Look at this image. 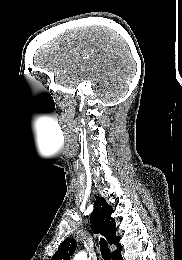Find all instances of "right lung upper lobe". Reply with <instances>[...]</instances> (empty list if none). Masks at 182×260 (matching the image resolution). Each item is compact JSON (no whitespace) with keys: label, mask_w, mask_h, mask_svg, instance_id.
I'll return each instance as SVG.
<instances>
[{"label":"right lung upper lobe","mask_w":182,"mask_h":260,"mask_svg":"<svg viewBox=\"0 0 182 260\" xmlns=\"http://www.w3.org/2000/svg\"><path fill=\"white\" fill-rule=\"evenodd\" d=\"M112 213V207L103 197H99L95 201V207L90 216V222L95 233L102 232L107 238L109 244H114L117 246L116 251L112 252L113 255L119 252L122 249V246L119 243L120 236H115L116 227L115 220L111 218ZM76 247L77 244L73 238L65 239L60 244L51 260H69L70 256L75 252Z\"/></svg>","instance_id":"obj_1"}]
</instances>
